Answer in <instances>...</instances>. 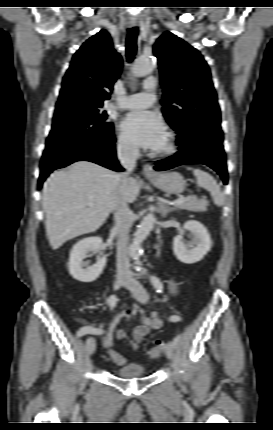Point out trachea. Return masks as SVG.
<instances>
[{"mask_svg":"<svg viewBox=\"0 0 273 430\" xmlns=\"http://www.w3.org/2000/svg\"><path fill=\"white\" fill-rule=\"evenodd\" d=\"M138 35V28L133 27L128 30V36L126 39V50H127V60L129 62L133 61L134 55L136 54L137 46L136 40Z\"/></svg>","mask_w":273,"mask_h":430,"instance_id":"1","label":"trachea"}]
</instances>
